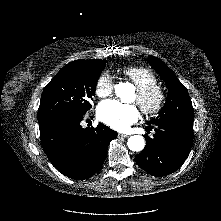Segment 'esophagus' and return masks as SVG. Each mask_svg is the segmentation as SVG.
<instances>
[{"mask_svg": "<svg viewBox=\"0 0 221 221\" xmlns=\"http://www.w3.org/2000/svg\"><path fill=\"white\" fill-rule=\"evenodd\" d=\"M118 137L119 138H128L129 135H127V134H118Z\"/></svg>", "mask_w": 221, "mask_h": 221, "instance_id": "esophagus-1", "label": "esophagus"}]
</instances>
